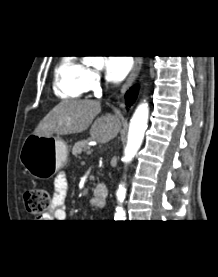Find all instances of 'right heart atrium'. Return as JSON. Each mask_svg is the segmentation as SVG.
Masks as SVG:
<instances>
[{
	"mask_svg": "<svg viewBox=\"0 0 218 277\" xmlns=\"http://www.w3.org/2000/svg\"><path fill=\"white\" fill-rule=\"evenodd\" d=\"M101 83V75L97 70L88 69L86 74V85L87 89L93 90L100 86Z\"/></svg>",
	"mask_w": 218,
	"mask_h": 277,
	"instance_id": "obj_1",
	"label": "right heart atrium"
}]
</instances>
